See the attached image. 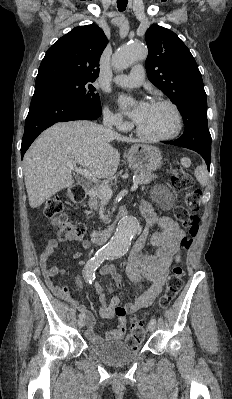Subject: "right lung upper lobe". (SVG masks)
<instances>
[{
  "mask_svg": "<svg viewBox=\"0 0 232 399\" xmlns=\"http://www.w3.org/2000/svg\"><path fill=\"white\" fill-rule=\"evenodd\" d=\"M107 43L103 30L95 24L72 29L46 52L36 83L57 77L94 81Z\"/></svg>",
  "mask_w": 232,
  "mask_h": 399,
  "instance_id": "right-lung-upper-lobe-1",
  "label": "right lung upper lobe"
}]
</instances>
